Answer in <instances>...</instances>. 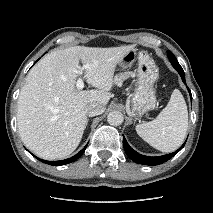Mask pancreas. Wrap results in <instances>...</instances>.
I'll return each instance as SVG.
<instances>
[{
  "instance_id": "obj_1",
  "label": "pancreas",
  "mask_w": 213,
  "mask_h": 213,
  "mask_svg": "<svg viewBox=\"0 0 213 213\" xmlns=\"http://www.w3.org/2000/svg\"><path fill=\"white\" fill-rule=\"evenodd\" d=\"M132 75H133L132 72L120 73V74H118V75L115 76L114 82H115V84L119 85V84H121L124 80H126L127 78H129V77L132 76Z\"/></svg>"
}]
</instances>
